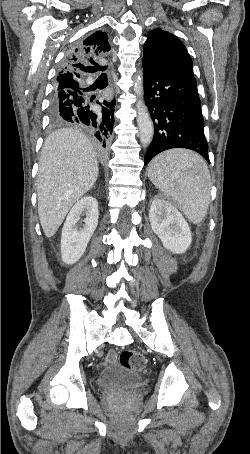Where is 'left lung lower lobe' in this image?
Here are the masks:
<instances>
[{"mask_svg": "<svg viewBox=\"0 0 250 454\" xmlns=\"http://www.w3.org/2000/svg\"><path fill=\"white\" fill-rule=\"evenodd\" d=\"M143 69L144 97L155 131L144 164L171 148L194 150L210 163L194 76L169 72L145 61Z\"/></svg>", "mask_w": 250, "mask_h": 454, "instance_id": "obj_1", "label": "left lung lower lobe"}]
</instances>
